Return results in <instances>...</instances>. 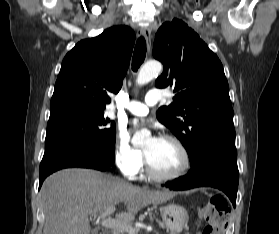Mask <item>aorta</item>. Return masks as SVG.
I'll return each mask as SVG.
<instances>
[{
  "mask_svg": "<svg viewBox=\"0 0 279 234\" xmlns=\"http://www.w3.org/2000/svg\"><path fill=\"white\" fill-rule=\"evenodd\" d=\"M162 71V64L158 61H149L143 65L137 76V84L144 85L158 76ZM147 131L136 132L133 136V143H140L147 137Z\"/></svg>",
  "mask_w": 279,
  "mask_h": 234,
  "instance_id": "aorta-1",
  "label": "aorta"
}]
</instances>
